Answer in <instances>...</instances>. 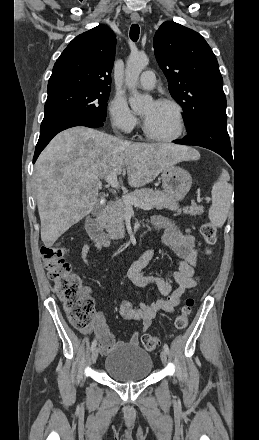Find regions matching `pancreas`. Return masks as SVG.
Segmentation results:
<instances>
[{
  "label": "pancreas",
  "mask_w": 259,
  "mask_h": 440,
  "mask_svg": "<svg viewBox=\"0 0 259 440\" xmlns=\"http://www.w3.org/2000/svg\"><path fill=\"white\" fill-rule=\"evenodd\" d=\"M126 196H130L141 202L148 203L153 208L158 210L166 208L171 211H177L178 213L183 212L190 215H201L204 212L203 206L197 204H192L191 206L181 209L173 197L168 196L166 193L160 190L142 188L135 190ZM128 207L129 206L124 202V199L121 198L115 201L114 204L107 209L103 220V227L111 237L118 238L124 236V219L126 217Z\"/></svg>",
  "instance_id": "1"
}]
</instances>
